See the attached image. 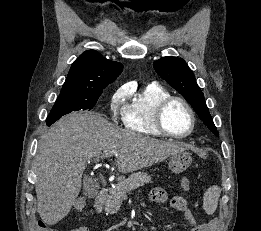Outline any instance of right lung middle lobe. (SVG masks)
Here are the masks:
<instances>
[{
    "mask_svg": "<svg viewBox=\"0 0 261 231\" xmlns=\"http://www.w3.org/2000/svg\"><path fill=\"white\" fill-rule=\"evenodd\" d=\"M101 93L102 91L61 92L46 119L47 126H50L63 115L72 111L91 110L95 106Z\"/></svg>",
    "mask_w": 261,
    "mask_h": 231,
    "instance_id": "obj_1",
    "label": "right lung middle lobe"
}]
</instances>
